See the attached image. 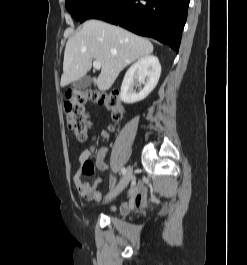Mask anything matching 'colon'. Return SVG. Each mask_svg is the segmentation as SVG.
Masks as SVG:
<instances>
[{
    "instance_id": "colon-1",
    "label": "colon",
    "mask_w": 247,
    "mask_h": 265,
    "mask_svg": "<svg viewBox=\"0 0 247 265\" xmlns=\"http://www.w3.org/2000/svg\"><path fill=\"white\" fill-rule=\"evenodd\" d=\"M89 101H95L103 106L110 113L114 122H119L124 114V107L116 91L95 92L89 89L69 91L64 105L67 114V126L81 143L87 141L91 127L87 114ZM84 170L87 174H93V164L87 163Z\"/></svg>"
}]
</instances>
